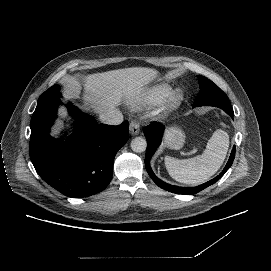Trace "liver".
I'll return each mask as SVG.
<instances>
[{"label":"liver","mask_w":271,"mask_h":271,"mask_svg":"<svg viewBox=\"0 0 271 271\" xmlns=\"http://www.w3.org/2000/svg\"><path fill=\"white\" fill-rule=\"evenodd\" d=\"M154 75V70L146 68H129L93 75L89 82L88 93H91L97 111L103 113L114 107L121 95L140 88ZM85 78L86 76L77 81L69 80L70 88L73 91L76 90L78 83H81L83 87Z\"/></svg>","instance_id":"liver-1"}]
</instances>
